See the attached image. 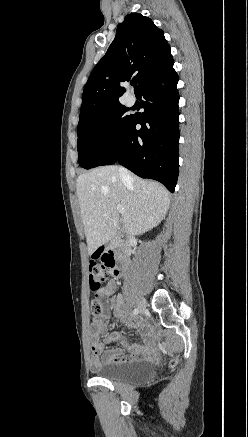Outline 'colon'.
Returning <instances> with one entry per match:
<instances>
[{
  "label": "colon",
  "instance_id": "5ec220e1",
  "mask_svg": "<svg viewBox=\"0 0 248 437\" xmlns=\"http://www.w3.org/2000/svg\"><path fill=\"white\" fill-rule=\"evenodd\" d=\"M114 262L110 257H95L90 261L89 264V283L92 291H97L100 289L111 275ZM91 312L93 315L99 317L102 313V303L97 299L91 301ZM175 360H173L172 365H175Z\"/></svg>",
  "mask_w": 248,
  "mask_h": 437
}]
</instances>
